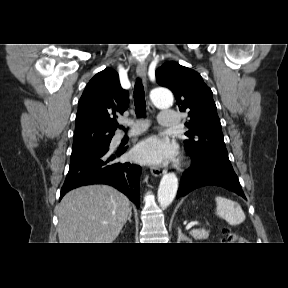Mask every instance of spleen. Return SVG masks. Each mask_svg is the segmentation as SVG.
Returning a JSON list of instances; mask_svg holds the SVG:
<instances>
[{
    "instance_id": "1",
    "label": "spleen",
    "mask_w": 288,
    "mask_h": 288,
    "mask_svg": "<svg viewBox=\"0 0 288 288\" xmlns=\"http://www.w3.org/2000/svg\"><path fill=\"white\" fill-rule=\"evenodd\" d=\"M216 201V215L225 219L230 225H239L245 220V214L241 206L230 199L217 196Z\"/></svg>"
}]
</instances>
